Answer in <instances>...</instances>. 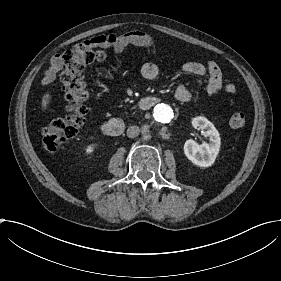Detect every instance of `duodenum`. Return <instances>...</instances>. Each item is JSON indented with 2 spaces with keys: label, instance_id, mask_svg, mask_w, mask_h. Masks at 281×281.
I'll return each mask as SVG.
<instances>
[{
  "label": "duodenum",
  "instance_id": "410a0bca",
  "mask_svg": "<svg viewBox=\"0 0 281 281\" xmlns=\"http://www.w3.org/2000/svg\"><path fill=\"white\" fill-rule=\"evenodd\" d=\"M160 99L155 96H146L138 101L141 110H148L158 104ZM125 128V123L120 118H112L102 125V131L109 136H119Z\"/></svg>",
  "mask_w": 281,
  "mask_h": 281
}]
</instances>
